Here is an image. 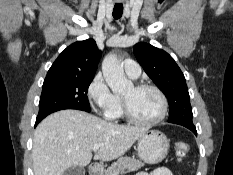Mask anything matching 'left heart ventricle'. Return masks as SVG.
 <instances>
[{
    "label": "left heart ventricle",
    "instance_id": "b2bd125f",
    "mask_svg": "<svg viewBox=\"0 0 233 175\" xmlns=\"http://www.w3.org/2000/svg\"><path fill=\"white\" fill-rule=\"evenodd\" d=\"M135 117L142 120L155 119L161 113L162 103L158 94L150 89L137 91L129 88L123 95Z\"/></svg>",
    "mask_w": 233,
    "mask_h": 175
}]
</instances>
